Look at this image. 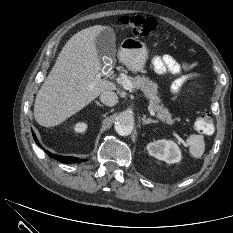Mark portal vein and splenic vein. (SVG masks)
<instances>
[{
	"instance_id": "1",
	"label": "portal vein and splenic vein",
	"mask_w": 233,
	"mask_h": 233,
	"mask_svg": "<svg viewBox=\"0 0 233 233\" xmlns=\"http://www.w3.org/2000/svg\"><path fill=\"white\" fill-rule=\"evenodd\" d=\"M120 83H121V85L123 86L124 89H126V90H131L132 89V83L125 74H121ZM149 112H150V114L152 116H156V114H155V112L153 111L152 108L149 109Z\"/></svg>"
}]
</instances>
